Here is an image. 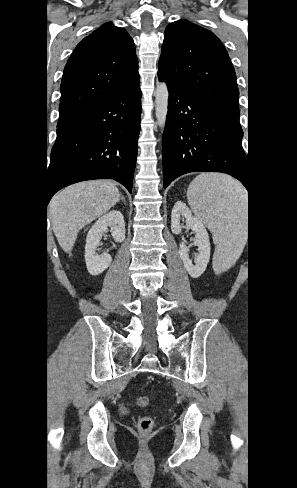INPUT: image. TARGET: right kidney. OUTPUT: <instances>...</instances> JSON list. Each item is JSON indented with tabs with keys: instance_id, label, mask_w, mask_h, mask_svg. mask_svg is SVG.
I'll return each mask as SVG.
<instances>
[{
	"instance_id": "1",
	"label": "right kidney",
	"mask_w": 297,
	"mask_h": 488,
	"mask_svg": "<svg viewBox=\"0 0 297 488\" xmlns=\"http://www.w3.org/2000/svg\"><path fill=\"white\" fill-rule=\"evenodd\" d=\"M110 231L116 242H123L125 239V222L122 213L119 210H112L101 216L89 230L86 237L85 261L90 274L96 276L106 270L112 262V257L104 252L101 255L96 254V248L103 233Z\"/></svg>"
}]
</instances>
